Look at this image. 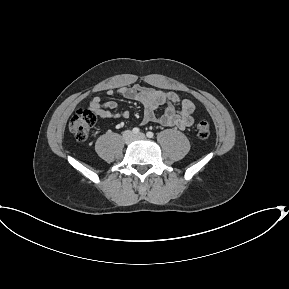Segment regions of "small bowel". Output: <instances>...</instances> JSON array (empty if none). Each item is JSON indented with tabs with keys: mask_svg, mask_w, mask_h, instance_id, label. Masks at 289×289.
<instances>
[{
	"mask_svg": "<svg viewBox=\"0 0 289 289\" xmlns=\"http://www.w3.org/2000/svg\"><path fill=\"white\" fill-rule=\"evenodd\" d=\"M107 93L111 96L119 95L141 102L144 106L143 123L155 122L180 129L190 127L194 123L196 105L174 92H163L143 86H126L117 90L110 89ZM161 105H166V107L161 115H156L155 110ZM117 108L116 101H103L100 96H94L89 103V109L100 119L127 118L129 116L128 111H117Z\"/></svg>",
	"mask_w": 289,
	"mask_h": 289,
	"instance_id": "1",
	"label": "small bowel"
}]
</instances>
